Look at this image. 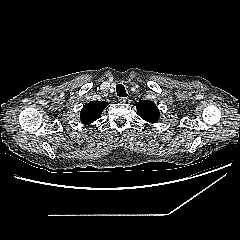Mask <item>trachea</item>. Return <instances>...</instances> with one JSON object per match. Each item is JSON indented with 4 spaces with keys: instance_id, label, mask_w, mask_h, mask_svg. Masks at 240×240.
I'll return each mask as SVG.
<instances>
[{
    "instance_id": "trachea-1",
    "label": "trachea",
    "mask_w": 240,
    "mask_h": 240,
    "mask_svg": "<svg viewBox=\"0 0 240 240\" xmlns=\"http://www.w3.org/2000/svg\"><path fill=\"white\" fill-rule=\"evenodd\" d=\"M116 93L119 97H126L127 96L126 89H125L124 85H122V84H118L116 86Z\"/></svg>"
}]
</instances>
